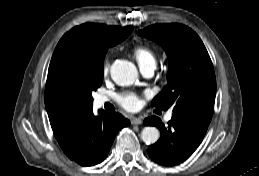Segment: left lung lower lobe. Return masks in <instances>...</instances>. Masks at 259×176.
<instances>
[{
	"instance_id": "1",
	"label": "left lung lower lobe",
	"mask_w": 259,
	"mask_h": 176,
	"mask_svg": "<svg viewBox=\"0 0 259 176\" xmlns=\"http://www.w3.org/2000/svg\"><path fill=\"white\" fill-rule=\"evenodd\" d=\"M145 125H154L160 132V139L148 147L150 158L165 166L177 165L198 148L202 142L209 123L188 115H172L168 126L155 116L146 118Z\"/></svg>"
}]
</instances>
